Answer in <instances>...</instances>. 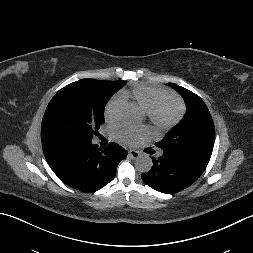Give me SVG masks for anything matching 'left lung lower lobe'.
Wrapping results in <instances>:
<instances>
[{"label":"left lung lower lobe","instance_id":"left-lung-lower-lobe-1","mask_svg":"<svg viewBox=\"0 0 253 253\" xmlns=\"http://www.w3.org/2000/svg\"><path fill=\"white\" fill-rule=\"evenodd\" d=\"M153 167L142 174L143 181L151 188L166 194L177 193L195 182L207 165L182 154L163 151Z\"/></svg>","mask_w":253,"mask_h":253}]
</instances>
